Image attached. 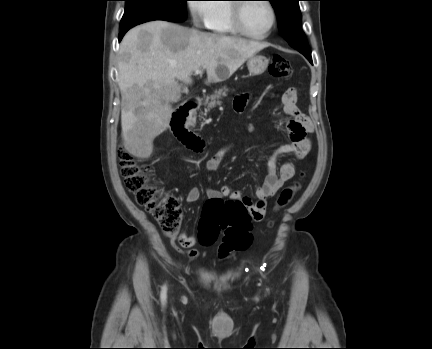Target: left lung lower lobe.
Returning a JSON list of instances; mask_svg holds the SVG:
<instances>
[{
	"instance_id": "1",
	"label": "left lung lower lobe",
	"mask_w": 432,
	"mask_h": 349,
	"mask_svg": "<svg viewBox=\"0 0 432 349\" xmlns=\"http://www.w3.org/2000/svg\"><path fill=\"white\" fill-rule=\"evenodd\" d=\"M300 53H302L308 60H309V62L311 63V64H313L312 63V57H311V53H310V51H303V50H298Z\"/></svg>"
}]
</instances>
